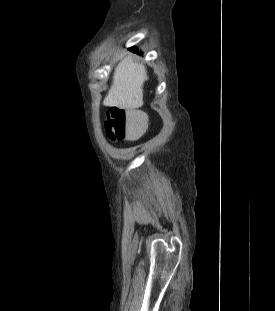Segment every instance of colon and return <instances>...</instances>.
I'll list each match as a JSON object with an SVG mask.
<instances>
[{
    "instance_id": "obj_1",
    "label": "colon",
    "mask_w": 275,
    "mask_h": 311,
    "mask_svg": "<svg viewBox=\"0 0 275 311\" xmlns=\"http://www.w3.org/2000/svg\"><path fill=\"white\" fill-rule=\"evenodd\" d=\"M147 117L141 112L112 108L108 115L106 130L112 141L140 137L146 130Z\"/></svg>"
}]
</instances>
